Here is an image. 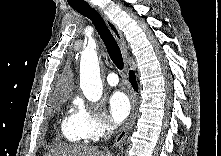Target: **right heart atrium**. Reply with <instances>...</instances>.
<instances>
[{
    "label": "right heart atrium",
    "instance_id": "1",
    "mask_svg": "<svg viewBox=\"0 0 221 156\" xmlns=\"http://www.w3.org/2000/svg\"><path fill=\"white\" fill-rule=\"evenodd\" d=\"M79 133L86 142H96L113 130L108 116L79 100L74 114Z\"/></svg>",
    "mask_w": 221,
    "mask_h": 156
}]
</instances>
